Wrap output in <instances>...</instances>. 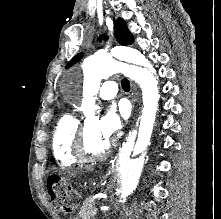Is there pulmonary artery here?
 I'll use <instances>...</instances> for the list:
<instances>
[{"mask_svg":"<svg viewBox=\"0 0 221 219\" xmlns=\"http://www.w3.org/2000/svg\"><path fill=\"white\" fill-rule=\"evenodd\" d=\"M117 91V85L111 80H107L102 84L99 90V96L104 100H110L117 95Z\"/></svg>","mask_w":221,"mask_h":219,"instance_id":"e3ab8cb5","label":"pulmonary artery"}]
</instances>
